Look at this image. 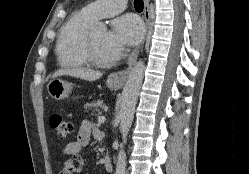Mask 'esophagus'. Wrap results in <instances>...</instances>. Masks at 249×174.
Returning a JSON list of instances; mask_svg holds the SVG:
<instances>
[{
    "label": "esophagus",
    "mask_w": 249,
    "mask_h": 174,
    "mask_svg": "<svg viewBox=\"0 0 249 174\" xmlns=\"http://www.w3.org/2000/svg\"><path fill=\"white\" fill-rule=\"evenodd\" d=\"M144 2V19H145V23H146V29H147V36L149 34V29H150V22H151V12H150V7H149V0H143ZM139 48L134 50L129 58H128V67L124 70L118 71V72H114L110 75V80L118 85V86H122L125 82L126 79L128 77V74L130 72V70L132 69L133 65L136 62V59L139 55Z\"/></svg>",
    "instance_id": "1"
}]
</instances>
